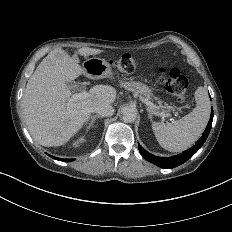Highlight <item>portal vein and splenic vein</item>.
Segmentation results:
<instances>
[{
	"mask_svg": "<svg viewBox=\"0 0 232 232\" xmlns=\"http://www.w3.org/2000/svg\"><path fill=\"white\" fill-rule=\"evenodd\" d=\"M89 94L87 92H83V93H75V94H72L71 98L69 101H75V100H80L84 97H87ZM145 105H146V108L148 110H151V106H152V103L147 100V99H143Z\"/></svg>",
	"mask_w": 232,
	"mask_h": 232,
	"instance_id": "obj_1",
	"label": "portal vein and splenic vein"
}]
</instances>
